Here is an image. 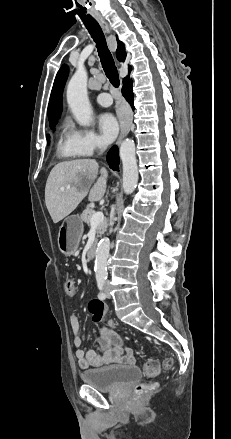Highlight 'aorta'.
Wrapping results in <instances>:
<instances>
[{
	"mask_svg": "<svg viewBox=\"0 0 231 439\" xmlns=\"http://www.w3.org/2000/svg\"><path fill=\"white\" fill-rule=\"evenodd\" d=\"M88 75L83 67H78L67 86V102L75 120L83 126L91 122L92 110L87 95ZM120 158L123 165V191L125 194L134 192L138 182V167L135 155V144L126 139L120 147ZM110 250L109 238H103L96 249L95 275L96 278H106Z\"/></svg>",
	"mask_w": 231,
	"mask_h": 439,
	"instance_id": "1",
	"label": "aorta"
}]
</instances>
